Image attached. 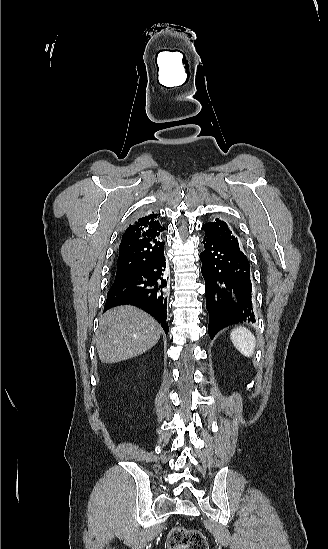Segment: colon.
<instances>
[{
  "mask_svg": "<svg viewBox=\"0 0 328 549\" xmlns=\"http://www.w3.org/2000/svg\"><path fill=\"white\" fill-rule=\"evenodd\" d=\"M169 549H208L206 537L196 529L174 526L168 533Z\"/></svg>",
  "mask_w": 328,
  "mask_h": 549,
  "instance_id": "5ec220e1",
  "label": "colon"
}]
</instances>
